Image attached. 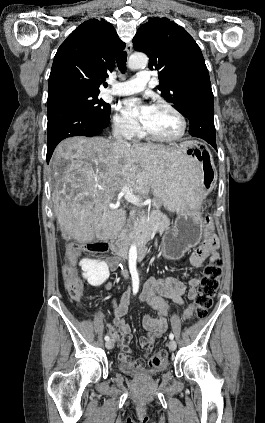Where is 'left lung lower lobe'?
<instances>
[{
    "mask_svg": "<svg viewBox=\"0 0 265 423\" xmlns=\"http://www.w3.org/2000/svg\"><path fill=\"white\" fill-rule=\"evenodd\" d=\"M182 114L190 121L189 134L205 140L217 149L211 85H202L191 92Z\"/></svg>",
    "mask_w": 265,
    "mask_h": 423,
    "instance_id": "1",
    "label": "left lung lower lobe"
}]
</instances>
